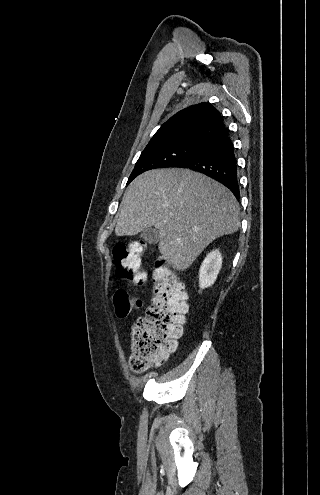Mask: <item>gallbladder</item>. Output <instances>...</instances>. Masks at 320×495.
<instances>
[{
  "instance_id": "1",
  "label": "gallbladder",
  "mask_w": 320,
  "mask_h": 495,
  "mask_svg": "<svg viewBox=\"0 0 320 495\" xmlns=\"http://www.w3.org/2000/svg\"><path fill=\"white\" fill-rule=\"evenodd\" d=\"M141 238L151 244L157 243L160 240L159 230L154 227H148L142 231Z\"/></svg>"
}]
</instances>
